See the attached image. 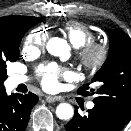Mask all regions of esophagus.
<instances>
[{
    "label": "esophagus",
    "instance_id": "esophagus-1",
    "mask_svg": "<svg viewBox=\"0 0 131 131\" xmlns=\"http://www.w3.org/2000/svg\"><path fill=\"white\" fill-rule=\"evenodd\" d=\"M45 100L48 103H53V102H56V101H62L63 99L61 97L46 96Z\"/></svg>",
    "mask_w": 131,
    "mask_h": 131
}]
</instances>
